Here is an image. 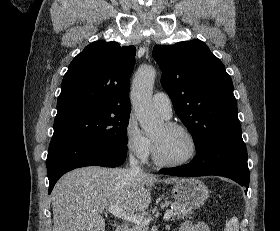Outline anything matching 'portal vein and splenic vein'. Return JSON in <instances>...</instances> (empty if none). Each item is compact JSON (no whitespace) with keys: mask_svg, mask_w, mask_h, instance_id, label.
<instances>
[{"mask_svg":"<svg viewBox=\"0 0 280 231\" xmlns=\"http://www.w3.org/2000/svg\"><path fill=\"white\" fill-rule=\"evenodd\" d=\"M108 211L116 215V217H121V219H126V221H132V223H137V225H148L150 219L144 217V215H136V213H127L122 207H108ZM173 215V209H166L163 219H170Z\"/></svg>","mask_w":280,"mask_h":231,"instance_id":"portal-vein-and-splenic-vein-1","label":"portal vein and splenic vein"}]
</instances>
